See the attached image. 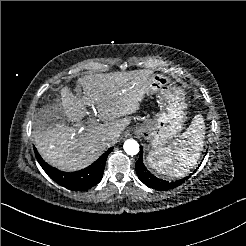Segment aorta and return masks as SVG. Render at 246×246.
<instances>
[{
  "instance_id": "aorta-1",
  "label": "aorta",
  "mask_w": 246,
  "mask_h": 246,
  "mask_svg": "<svg viewBox=\"0 0 246 246\" xmlns=\"http://www.w3.org/2000/svg\"><path fill=\"white\" fill-rule=\"evenodd\" d=\"M124 150L128 155L134 156L139 152V144L135 140H128L124 144Z\"/></svg>"
}]
</instances>
